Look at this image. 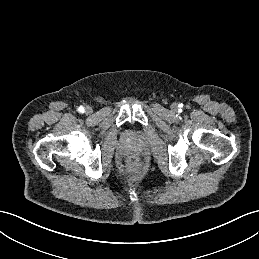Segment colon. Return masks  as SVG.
I'll return each mask as SVG.
<instances>
[{
    "mask_svg": "<svg viewBox=\"0 0 259 259\" xmlns=\"http://www.w3.org/2000/svg\"><path fill=\"white\" fill-rule=\"evenodd\" d=\"M127 169L128 172L132 175H136L139 172L140 169V162L136 157H131L127 161Z\"/></svg>",
    "mask_w": 259,
    "mask_h": 259,
    "instance_id": "5ec220e1",
    "label": "colon"
}]
</instances>
